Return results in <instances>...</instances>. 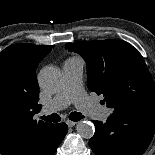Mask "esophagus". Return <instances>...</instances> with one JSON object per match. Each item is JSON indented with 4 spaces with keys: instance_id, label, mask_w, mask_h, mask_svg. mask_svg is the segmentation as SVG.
Instances as JSON below:
<instances>
[{
    "instance_id": "obj_1",
    "label": "esophagus",
    "mask_w": 155,
    "mask_h": 155,
    "mask_svg": "<svg viewBox=\"0 0 155 155\" xmlns=\"http://www.w3.org/2000/svg\"><path fill=\"white\" fill-rule=\"evenodd\" d=\"M66 124L69 126V127H73L77 124V122L75 121H71V120H66Z\"/></svg>"
}]
</instances>
